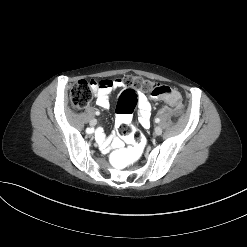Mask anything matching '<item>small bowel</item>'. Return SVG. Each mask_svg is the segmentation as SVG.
Returning <instances> with one entry per match:
<instances>
[{"label":"small bowel","mask_w":247,"mask_h":247,"mask_svg":"<svg viewBox=\"0 0 247 247\" xmlns=\"http://www.w3.org/2000/svg\"><path fill=\"white\" fill-rule=\"evenodd\" d=\"M124 86L125 84L122 79L103 80L100 82H95L93 89L95 92L97 105L103 109H109L110 95L116 89L122 88ZM138 104L139 123L143 128L147 129L150 127L151 104L148 97L144 93L138 94ZM97 141L103 150H106L111 143V140L102 133L97 134ZM120 144L121 142L117 138L112 141L113 146H119Z\"/></svg>","instance_id":"small-bowel-1"}]
</instances>
